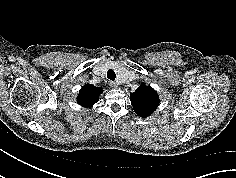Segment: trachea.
<instances>
[{
	"label": "trachea",
	"mask_w": 236,
	"mask_h": 178,
	"mask_svg": "<svg viewBox=\"0 0 236 178\" xmlns=\"http://www.w3.org/2000/svg\"><path fill=\"white\" fill-rule=\"evenodd\" d=\"M107 78L114 81L115 78H116V74L114 72V70L110 69L108 72H107Z\"/></svg>",
	"instance_id": "trachea-1"
}]
</instances>
